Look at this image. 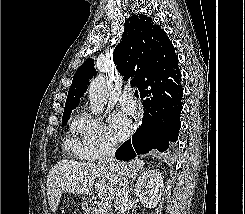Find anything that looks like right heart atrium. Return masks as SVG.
Instances as JSON below:
<instances>
[{"mask_svg":"<svg viewBox=\"0 0 245 214\" xmlns=\"http://www.w3.org/2000/svg\"><path fill=\"white\" fill-rule=\"evenodd\" d=\"M72 132L78 157L95 161L113 152L114 145L101 119L86 111L79 112L73 120Z\"/></svg>","mask_w":245,"mask_h":214,"instance_id":"d8ad5b80","label":"right heart atrium"}]
</instances>
